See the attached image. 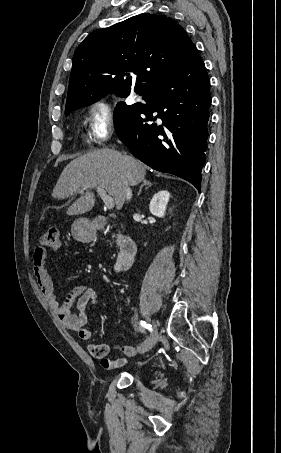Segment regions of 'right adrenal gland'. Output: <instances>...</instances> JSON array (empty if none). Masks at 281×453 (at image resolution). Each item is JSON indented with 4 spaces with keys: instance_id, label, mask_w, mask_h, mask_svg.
Returning <instances> with one entry per match:
<instances>
[{
    "instance_id": "obj_1",
    "label": "right adrenal gland",
    "mask_w": 281,
    "mask_h": 453,
    "mask_svg": "<svg viewBox=\"0 0 281 453\" xmlns=\"http://www.w3.org/2000/svg\"><path fill=\"white\" fill-rule=\"evenodd\" d=\"M143 186H147V188H148V186H152V182H150V180H145V178H144V180H142V184L138 190V194H140V192H142Z\"/></svg>"
}]
</instances>
